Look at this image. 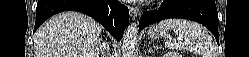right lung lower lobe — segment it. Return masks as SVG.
<instances>
[{
  "label": "right lung lower lobe",
  "mask_w": 249,
  "mask_h": 57,
  "mask_svg": "<svg viewBox=\"0 0 249 57\" xmlns=\"http://www.w3.org/2000/svg\"><path fill=\"white\" fill-rule=\"evenodd\" d=\"M91 16L119 41L129 22V10L115 0H38L34 31L49 17L62 11Z\"/></svg>",
  "instance_id": "1"
}]
</instances>
